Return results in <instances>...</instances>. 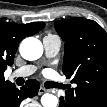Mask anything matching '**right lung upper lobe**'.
Wrapping results in <instances>:
<instances>
[{
  "label": "right lung upper lobe",
  "instance_id": "obj_1",
  "mask_svg": "<svg viewBox=\"0 0 107 107\" xmlns=\"http://www.w3.org/2000/svg\"><path fill=\"white\" fill-rule=\"evenodd\" d=\"M44 26L43 22L15 24L0 21V84L5 82L4 71L13 64L20 41L36 34Z\"/></svg>",
  "mask_w": 107,
  "mask_h": 107
}]
</instances>
